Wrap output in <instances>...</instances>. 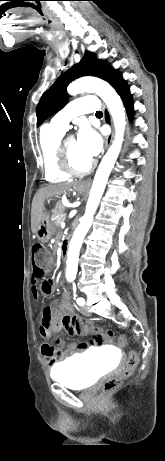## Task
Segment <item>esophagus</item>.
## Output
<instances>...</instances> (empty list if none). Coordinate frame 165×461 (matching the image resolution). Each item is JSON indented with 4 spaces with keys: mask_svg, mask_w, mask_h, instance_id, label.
<instances>
[{
    "mask_svg": "<svg viewBox=\"0 0 165 461\" xmlns=\"http://www.w3.org/2000/svg\"><path fill=\"white\" fill-rule=\"evenodd\" d=\"M104 115H105V121L108 124H110L111 128H112L111 133L107 136L106 143H105V148L107 149L110 146L111 142H112L113 135H114V129H113V124H112V119H111L110 113L106 108H104ZM80 185L84 186V187H89L91 185V180L88 179V180L82 182Z\"/></svg>",
    "mask_w": 165,
    "mask_h": 461,
    "instance_id": "obj_1",
    "label": "esophagus"
}]
</instances>
